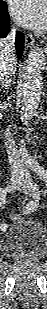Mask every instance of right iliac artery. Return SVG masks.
Masks as SVG:
<instances>
[{
	"mask_svg": "<svg viewBox=\"0 0 47 309\" xmlns=\"http://www.w3.org/2000/svg\"><path fill=\"white\" fill-rule=\"evenodd\" d=\"M6 190L3 189L0 191V204L4 205L5 201H6ZM1 230H5L6 229V224L1 223L0 225Z\"/></svg>",
	"mask_w": 47,
	"mask_h": 309,
	"instance_id": "obj_1",
	"label": "right iliac artery"
}]
</instances>
